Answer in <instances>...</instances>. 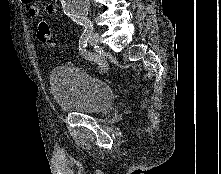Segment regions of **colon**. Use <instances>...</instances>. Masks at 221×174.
<instances>
[{"mask_svg": "<svg viewBox=\"0 0 221 174\" xmlns=\"http://www.w3.org/2000/svg\"><path fill=\"white\" fill-rule=\"evenodd\" d=\"M37 38L44 46H50L52 44L51 29L47 21L40 20L37 28Z\"/></svg>", "mask_w": 221, "mask_h": 174, "instance_id": "5ec220e1", "label": "colon"}]
</instances>
